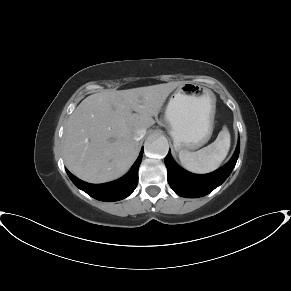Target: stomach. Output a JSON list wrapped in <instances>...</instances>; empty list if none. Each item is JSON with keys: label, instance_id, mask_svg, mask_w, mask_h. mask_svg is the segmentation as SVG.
I'll list each match as a JSON object with an SVG mask.
<instances>
[{"label": "stomach", "instance_id": "1", "mask_svg": "<svg viewBox=\"0 0 291 291\" xmlns=\"http://www.w3.org/2000/svg\"><path fill=\"white\" fill-rule=\"evenodd\" d=\"M216 97L214 93L193 82L177 86L165 111L176 150H196L209 141L214 129Z\"/></svg>", "mask_w": 291, "mask_h": 291}]
</instances>
